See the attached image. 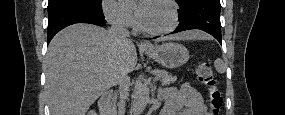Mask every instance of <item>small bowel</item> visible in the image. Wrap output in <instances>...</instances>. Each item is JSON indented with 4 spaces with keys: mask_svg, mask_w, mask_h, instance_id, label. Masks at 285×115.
Here are the masks:
<instances>
[{
    "mask_svg": "<svg viewBox=\"0 0 285 115\" xmlns=\"http://www.w3.org/2000/svg\"><path fill=\"white\" fill-rule=\"evenodd\" d=\"M162 97L164 107L161 115H207V107L201 94L190 84L185 83L180 89L168 88Z\"/></svg>",
    "mask_w": 285,
    "mask_h": 115,
    "instance_id": "small-bowel-1",
    "label": "small bowel"
}]
</instances>
